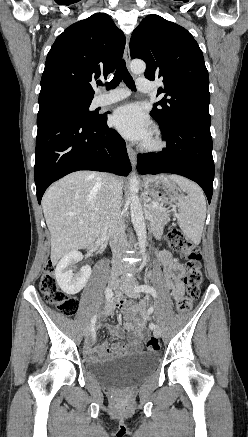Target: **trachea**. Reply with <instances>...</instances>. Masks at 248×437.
<instances>
[{
	"label": "trachea",
	"mask_w": 248,
	"mask_h": 437,
	"mask_svg": "<svg viewBox=\"0 0 248 437\" xmlns=\"http://www.w3.org/2000/svg\"><path fill=\"white\" fill-rule=\"evenodd\" d=\"M122 79L130 89L135 90V83L126 68V63L124 60L118 66L113 79L110 82L106 83L107 90L116 88L122 81ZM99 85H102V83H99Z\"/></svg>",
	"instance_id": "3493384b"
}]
</instances>
